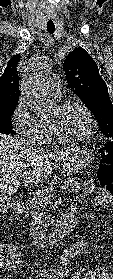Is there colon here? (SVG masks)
<instances>
[{
	"label": "colon",
	"mask_w": 113,
	"mask_h": 279,
	"mask_svg": "<svg viewBox=\"0 0 113 279\" xmlns=\"http://www.w3.org/2000/svg\"><path fill=\"white\" fill-rule=\"evenodd\" d=\"M101 163L97 170V180L100 190L103 193L113 195V144L101 147ZM3 249V250H2ZM0 276L12 261L20 259V252L16 248L6 250L0 246ZM2 254V255H1Z\"/></svg>",
	"instance_id": "obj_1"
}]
</instances>
